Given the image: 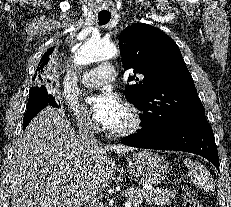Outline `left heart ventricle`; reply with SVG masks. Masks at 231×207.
I'll use <instances>...</instances> for the list:
<instances>
[{"label":"left heart ventricle","instance_id":"b2bd125f","mask_svg":"<svg viewBox=\"0 0 231 207\" xmlns=\"http://www.w3.org/2000/svg\"><path fill=\"white\" fill-rule=\"evenodd\" d=\"M130 122V117L128 112L122 108L121 112L118 114V116L106 127L110 129H120L123 127H126Z\"/></svg>","mask_w":231,"mask_h":207}]
</instances>
